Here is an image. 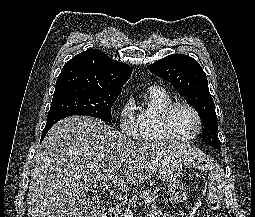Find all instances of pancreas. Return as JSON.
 Wrapping results in <instances>:
<instances>
[{
  "mask_svg": "<svg viewBox=\"0 0 255 217\" xmlns=\"http://www.w3.org/2000/svg\"><path fill=\"white\" fill-rule=\"evenodd\" d=\"M158 197V189H147L136 192L132 198L126 199L120 204H116L115 206L109 208L108 214L110 217H123V210L126 208H130V206H136V204L147 205L149 206L151 203L155 202ZM124 206V207H123Z\"/></svg>",
  "mask_w": 255,
  "mask_h": 217,
  "instance_id": "1",
  "label": "pancreas"
}]
</instances>
